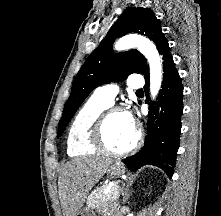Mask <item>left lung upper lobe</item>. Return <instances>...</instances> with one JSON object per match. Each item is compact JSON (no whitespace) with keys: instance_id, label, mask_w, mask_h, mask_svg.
<instances>
[{"instance_id":"5c2ea615","label":"left lung upper lobe","mask_w":221,"mask_h":216,"mask_svg":"<svg viewBox=\"0 0 221 216\" xmlns=\"http://www.w3.org/2000/svg\"><path fill=\"white\" fill-rule=\"evenodd\" d=\"M136 32L149 37L160 47L167 42L161 31L159 20L148 8H128L110 28L108 34L88 57L76 75L62 118L58 125L59 137L86 97L98 86L123 81L129 74L145 73L149 70L145 57L137 50L124 53L111 52L117 37Z\"/></svg>"}]
</instances>
